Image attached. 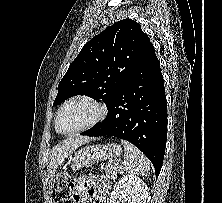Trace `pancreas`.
<instances>
[{
  "instance_id": "pancreas-1",
  "label": "pancreas",
  "mask_w": 222,
  "mask_h": 203,
  "mask_svg": "<svg viewBox=\"0 0 222 203\" xmlns=\"http://www.w3.org/2000/svg\"><path fill=\"white\" fill-rule=\"evenodd\" d=\"M119 168V163L116 160H110L109 162L103 164L101 169L105 171V174L110 179H115Z\"/></svg>"
}]
</instances>
